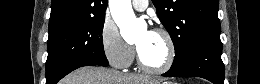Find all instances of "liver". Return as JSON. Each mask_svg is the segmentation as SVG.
I'll use <instances>...</instances> for the list:
<instances>
[{
    "label": "liver",
    "mask_w": 260,
    "mask_h": 84,
    "mask_svg": "<svg viewBox=\"0 0 260 84\" xmlns=\"http://www.w3.org/2000/svg\"><path fill=\"white\" fill-rule=\"evenodd\" d=\"M63 84H159L147 75L125 74L114 69L86 66L65 77Z\"/></svg>",
    "instance_id": "6515ba94"
}]
</instances>
